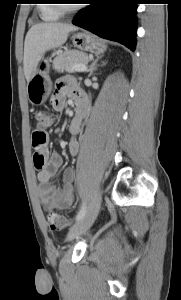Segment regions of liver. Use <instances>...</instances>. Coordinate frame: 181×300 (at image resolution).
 <instances>
[{
  "mask_svg": "<svg viewBox=\"0 0 181 300\" xmlns=\"http://www.w3.org/2000/svg\"><path fill=\"white\" fill-rule=\"evenodd\" d=\"M76 30L78 27L65 23H39L29 29L25 37L23 58L24 74L28 83L43 54L63 45L69 33Z\"/></svg>",
  "mask_w": 181,
  "mask_h": 300,
  "instance_id": "liver-1",
  "label": "liver"
}]
</instances>
